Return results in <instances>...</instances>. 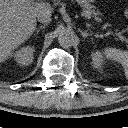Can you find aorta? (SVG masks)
Here are the masks:
<instances>
[{
	"label": "aorta",
	"instance_id": "aorta-1",
	"mask_svg": "<svg viewBox=\"0 0 128 128\" xmlns=\"http://www.w3.org/2000/svg\"><path fill=\"white\" fill-rule=\"evenodd\" d=\"M74 41V35L72 32L63 29L59 36H58V42L60 44V46H62L63 48H67L70 47L72 45Z\"/></svg>",
	"mask_w": 128,
	"mask_h": 128
}]
</instances>
